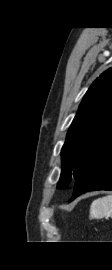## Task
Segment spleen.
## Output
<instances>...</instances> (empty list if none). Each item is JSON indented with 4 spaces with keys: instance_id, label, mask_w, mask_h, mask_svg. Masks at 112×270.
Here are the masks:
<instances>
[{
    "instance_id": "1",
    "label": "spleen",
    "mask_w": 112,
    "mask_h": 270,
    "mask_svg": "<svg viewBox=\"0 0 112 270\" xmlns=\"http://www.w3.org/2000/svg\"><path fill=\"white\" fill-rule=\"evenodd\" d=\"M105 216L112 218V195L96 199L90 206V219H100Z\"/></svg>"
}]
</instances>
